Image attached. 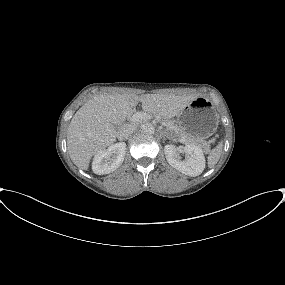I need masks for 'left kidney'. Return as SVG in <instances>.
I'll list each match as a JSON object with an SVG mask.
<instances>
[{"label": "left kidney", "instance_id": "left-kidney-1", "mask_svg": "<svg viewBox=\"0 0 285 285\" xmlns=\"http://www.w3.org/2000/svg\"><path fill=\"white\" fill-rule=\"evenodd\" d=\"M167 162L188 176H198L205 169V157L202 149L194 144H187L183 147V152L188 154L186 160H181L179 152L174 145H166L164 148Z\"/></svg>", "mask_w": 285, "mask_h": 285}]
</instances>
